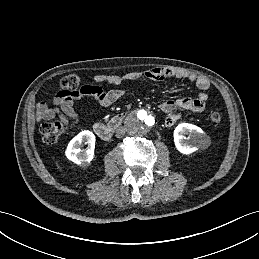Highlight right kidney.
Wrapping results in <instances>:
<instances>
[{
  "mask_svg": "<svg viewBox=\"0 0 259 259\" xmlns=\"http://www.w3.org/2000/svg\"><path fill=\"white\" fill-rule=\"evenodd\" d=\"M83 142L88 145L84 152L79 147ZM94 149L95 135L88 130H84L69 142L65 155L69 160L78 165H86L94 158Z\"/></svg>",
  "mask_w": 259,
  "mask_h": 259,
  "instance_id": "obj_1",
  "label": "right kidney"
}]
</instances>
